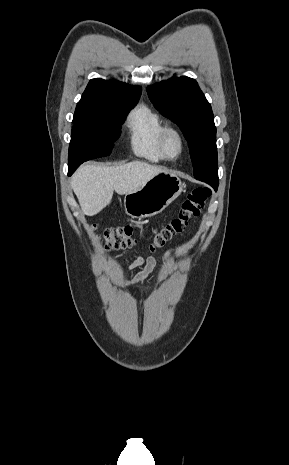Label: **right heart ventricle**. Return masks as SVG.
<instances>
[{
    "label": "right heart ventricle",
    "mask_w": 289,
    "mask_h": 465,
    "mask_svg": "<svg viewBox=\"0 0 289 465\" xmlns=\"http://www.w3.org/2000/svg\"><path fill=\"white\" fill-rule=\"evenodd\" d=\"M126 126L133 152L150 162H160L164 157L159 140L165 126L160 115L147 105L133 109L127 117Z\"/></svg>",
    "instance_id": "obj_1"
}]
</instances>
